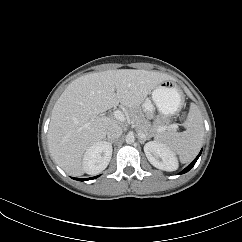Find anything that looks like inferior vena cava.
<instances>
[{"mask_svg": "<svg viewBox=\"0 0 242 242\" xmlns=\"http://www.w3.org/2000/svg\"><path fill=\"white\" fill-rule=\"evenodd\" d=\"M123 133L122 127L114 124L109 126L108 130H107V137L110 140H114L119 138Z\"/></svg>", "mask_w": 242, "mask_h": 242, "instance_id": "inferior-vena-cava-1", "label": "inferior vena cava"}]
</instances>
